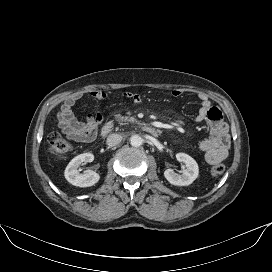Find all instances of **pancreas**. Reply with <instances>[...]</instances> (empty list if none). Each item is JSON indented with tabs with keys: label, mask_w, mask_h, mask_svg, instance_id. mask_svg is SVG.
<instances>
[{
	"label": "pancreas",
	"mask_w": 272,
	"mask_h": 272,
	"mask_svg": "<svg viewBox=\"0 0 272 272\" xmlns=\"http://www.w3.org/2000/svg\"><path fill=\"white\" fill-rule=\"evenodd\" d=\"M116 121L120 124H127V123H135L136 119L134 117H129V116H121V115H116Z\"/></svg>",
	"instance_id": "1"
}]
</instances>
